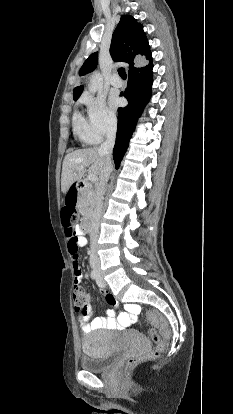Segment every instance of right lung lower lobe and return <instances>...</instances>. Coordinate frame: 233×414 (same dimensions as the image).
<instances>
[{
	"mask_svg": "<svg viewBox=\"0 0 233 414\" xmlns=\"http://www.w3.org/2000/svg\"><path fill=\"white\" fill-rule=\"evenodd\" d=\"M152 69L153 65L144 71L129 75L127 88L123 94L128 100V105L118 109L117 136L113 149L116 169L127 150L136 121L151 96Z\"/></svg>",
	"mask_w": 233,
	"mask_h": 414,
	"instance_id": "obj_1",
	"label": "right lung lower lobe"
}]
</instances>
